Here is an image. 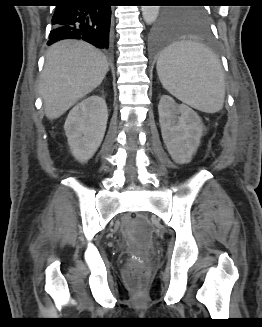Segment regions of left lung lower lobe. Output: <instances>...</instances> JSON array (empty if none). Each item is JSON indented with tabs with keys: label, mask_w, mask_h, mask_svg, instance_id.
I'll return each mask as SVG.
<instances>
[{
	"label": "left lung lower lobe",
	"mask_w": 262,
	"mask_h": 327,
	"mask_svg": "<svg viewBox=\"0 0 262 327\" xmlns=\"http://www.w3.org/2000/svg\"><path fill=\"white\" fill-rule=\"evenodd\" d=\"M175 27L163 17L150 32L148 39L149 50L152 53H158L167 49L175 41ZM200 32L205 37L209 35L207 26L201 28Z\"/></svg>",
	"instance_id": "0a47b994"
}]
</instances>
